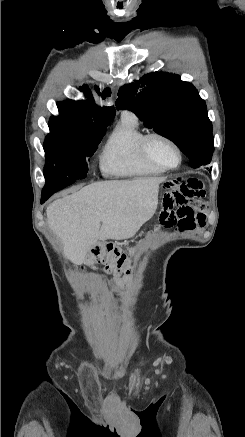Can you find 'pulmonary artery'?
<instances>
[{"label":"pulmonary artery","mask_w":245,"mask_h":437,"mask_svg":"<svg viewBox=\"0 0 245 437\" xmlns=\"http://www.w3.org/2000/svg\"><path fill=\"white\" fill-rule=\"evenodd\" d=\"M124 115H130L131 116V114L130 113H128V112H126Z\"/></svg>","instance_id":"1"}]
</instances>
